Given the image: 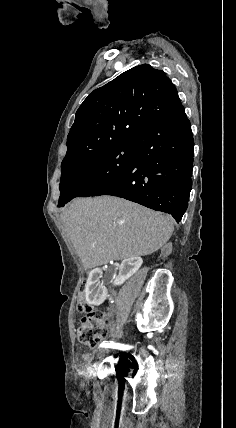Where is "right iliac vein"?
Here are the masks:
<instances>
[{
	"label": "right iliac vein",
	"mask_w": 236,
	"mask_h": 428,
	"mask_svg": "<svg viewBox=\"0 0 236 428\" xmlns=\"http://www.w3.org/2000/svg\"><path fill=\"white\" fill-rule=\"evenodd\" d=\"M104 351H100L98 354L100 355V356H107L111 351L108 349H104V348H102ZM107 350V351H106Z\"/></svg>",
	"instance_id": "right-iliac-vein-1"
}]
</instances>
